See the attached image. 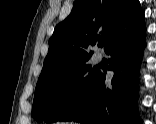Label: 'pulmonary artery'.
Here are the masks:
<instances>
[{
    "label": "pulmonary artery",
    "instance_id": "e3ab8cb5",
    "mask_svg": "<svg viewBox=\"0 0 156 124\" xmlns=\"http://www.w3.org/2000/svg\"><path fill=\"white\" fill-rule=\"evenodd\" d=\"M95 60H96L97 63L100 62L101 56H100V55H96V56H95Z\"/></svg>",
    "mask_w": 156,
    "mask_h": 124
}]
</instances>
